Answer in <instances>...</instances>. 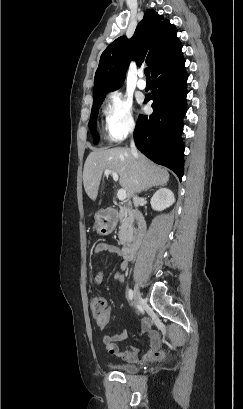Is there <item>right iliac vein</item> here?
Listing matches in <instances>:
<instances>
[{"instance_id":"obj_1","label":"right iliac vein","mask_w":243,"mask_h":409,"mask_svg":"<svg viewBox=\"0 0 243 409\" xmlns=\"http://www.w3.org/2000/svg\"><path fill=\"white\" fill-rule=\"evenodd\" d=\"M140 299H141V293L139 291L138 286L136 285L135 289H134V304H135V306H137L139 304Z\"/></svg>"}]
</instances>
